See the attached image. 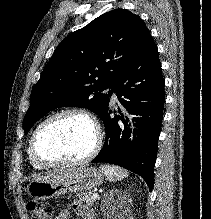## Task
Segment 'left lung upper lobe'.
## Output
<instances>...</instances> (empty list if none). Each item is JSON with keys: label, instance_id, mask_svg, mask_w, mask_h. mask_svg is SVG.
<instances>
[{"label": "left lung upper lobe", "instance_id": "1", "mask_svg": "<svg viewBox=\"0 0 211 219\" xmlns=\"http://www.w3.org/2000/svg\"><path fill=\"white\" fill-rule=\"evenodd\" d=\"M149 37L142 19L125 9L106 12L70 34L58 45L32 90L25 133L46 113L62 106L88 108L100 117L109 105V96L102 91L113 87Z\"/></svg>", "mask_w": 211, "mask_h": 219}]
</instances>
